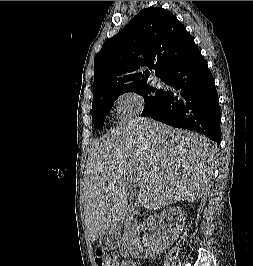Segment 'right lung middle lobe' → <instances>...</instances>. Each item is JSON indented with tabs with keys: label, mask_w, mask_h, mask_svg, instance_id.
<instances>
[{
	"label": "right lung middle lobe",
	"mask_w": 253,
	"mask_h": 266,
	"mask_svg": "<svg viewBox=\"0 0 253 266\" xmlns=\"http://www.w3.org/2000/svg\"><path fill=\"white\" fill-rule=\"evenodd\" d=\"M125 92H135L144 97V110L142 115H147L155 107L162 95V89L148 86L146 83L132 89L108 94L92 103V121L97 129H103L104 120L109 113L113 102Z\"/></svg>",
	"instance_id": "obj_1"
}]
</instances>
